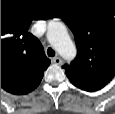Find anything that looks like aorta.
I'll list each match as a JSON object with an SVG mask.
<instances>
[{
	"label": "aorta",
	"instance_id": "1",
	"mask_svg": "<svg viewBox=\"0 0 115 114\" xmlns=\"http://www.w3.org/2000/svg\"><path fill=\"white\" fill-rule=\"evenodd\" d=\"M48 38L63 58L71 60L76 56V47L63 25H53L48 31Z\"/></svg>",
	"mask_w": 115,
	"mask_h": 114
}]
</instances>
